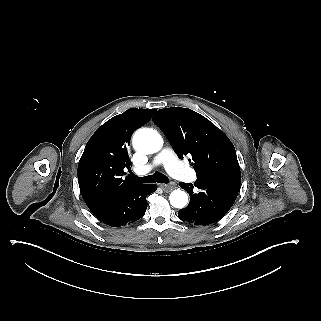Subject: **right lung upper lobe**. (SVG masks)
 I'll return each instance as SVG.
<instances>
[{
  "label": "right lung upper lobe",
  "mask_w": 321,
  "mask_h": 321,
  "mask_svg": "<svg viewBox=\"0 0 321 321\" xmlns=\"http://www.w3.org/2000/svg\"><path fill=\"white\" fill-rule=\"evenodd\" d=\"M156 110L131 108L104 123L87 142L78 164V183L86 204L119 195L139 185L125 177L130 168L128 145L132 133Z\"/></svg>",
  "instance_id": "right-lung-upper-lobe-1"
}]
</instances>
